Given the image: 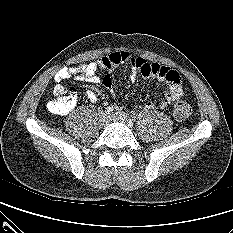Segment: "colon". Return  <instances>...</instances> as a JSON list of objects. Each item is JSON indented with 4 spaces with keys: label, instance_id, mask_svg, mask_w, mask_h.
<instances>
[{
    "label": "colon",
    "instance_id": "1",
    "mask_svg": "<svg viewBox=\"0 0 233 233\" xmlns=\"http://www.w3.org/2000/svg\"><path fill=\"white\" fill-rule=\"evenodd\" d=\"M56 98L48 102V109L59 115L69 113L76 104V91L74 88L63 89L59 88L56 92ZM192 113V108L185 101H178L173 107V115L179 120L187 119Z\"/></svg>",
    "mask_w": 233,
    "mask_h": 233
}]
</instances>
